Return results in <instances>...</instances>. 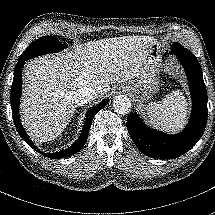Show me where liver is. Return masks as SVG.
<instances>
[{
    "label": "liver",
    "instance_id": "obj_1",
    "mask_svg": "<svg viewBox=\"0 0 215 215\" xmlns=\"http://www.w3.org/2000/svg\"><path fill=\"white\" fill-rule=\"evenodd\" d=\"M156 45L148 36L100 39L80 45L63 55L34 59L24 70L22 122L37 142L51 141L62 133L77 103L75 91L93 88L99 96L140 76L142 61Z\"/></svg>",
    "mask_w": 215,
    "mask_h": 215
}]
</instances>
